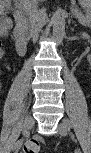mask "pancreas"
Returning <instances> with one entry per match:
<instances>
[{"mask_svg": "<svg viewBox=\"0 0 91 153\" xmlns=\"http://www.w3.org/2000/svg\"><path fill=\"white\" fill-rule=\"evenodd\" d=\"M73 12L81 24H83L84 26H87V27L90 26L91 21L88 16L82 15L77 9L73 10ZM78 14H80V15L77 16ZM25 29H26L27 35H30V25L28 22L25 23Z\"/></svg>", "mask_w": 91, "mask_h": 153, "instance_id": "pancreas-1", "label": "pancreas"}]
</instances>
